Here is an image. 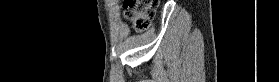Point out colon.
Returning <instances> with one entry per match:
<instances>
[{
	"label": "colon",
	"instance_id": "colon-1",
	"mask_svg": "<svg viewBox=\"0 0 279 82\" xmlns=\"http://www.w3.org/2000/svg\"><path fill=\"white\" fill-rule=\"evenodd\" d=\"M158 2V0H124L123 17L136 30H145L155 14Z\"/></svg>",
	"mask_w": 279,
	"mask_h": 82
}]
</instances>
